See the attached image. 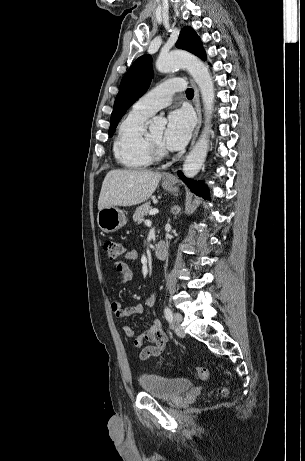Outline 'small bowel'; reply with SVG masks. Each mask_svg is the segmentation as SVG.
<instances>
[{
    "label": "small bowel",
    "mask_w": 305,
    "mask_h": 461,
    "mask_svg": "<svg viewBox=\"0 0 305 461\" xmlns=\"http://www.w3.org/2000/svg\"><path fill=\"white\" fill-rule=\"evenodd\" d=\"M138 257V252L135 249L128 250L125 253V258L127 260H135ZM115 269L120 274V277L117 281L118 285L124 284L132 280L133 271L128 264L125 262H116ZM156 303V293H152L147 301L146 306L152 317V324L150 327L138 331V335L133 340V345L136 348H142L139 359L141 361H146L151 357L160 356L168 344V336L164 332L161 322L158 319L155 311ZM111 310L114 313L116 318L124 319L127 317L135 316L142 314L144 311V306L142 304H134L129 307H123L118 301H111ZM136 330L130 326L126 325L124 327V333L127 338H133L136 334ZM149 343V345H146Z\"/></svg>",
    "instance_id": "obj_1"
}]
</instances>
